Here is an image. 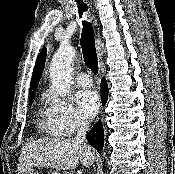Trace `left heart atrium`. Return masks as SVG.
<instances>
[{
    "mask_svg": "<svg viewBox=\"0 0 175 174\" xmlns=\"http://www.w3.org/2000/svg\"><path fill=\"white\" fill-rule=\"evenodd\" d=\"M77 103L81 114L87 119L95 117L98 113L100 100L95 91L90 89L81 90L77 94Z\"/></svg>",
    "mask_w": 175,
    "mask_h": 174,
    "instance_id": "left-heart-atrium-1",
    "label": "left heart atrium"
}]
</instances>
